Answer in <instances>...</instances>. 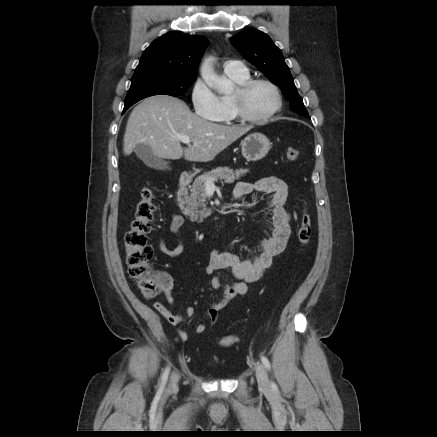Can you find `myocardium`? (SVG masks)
<instances>
[{
  "label": "myocardium",
  "mask_w": 437,
  "mask_h": 437,
  "mask_svg": "<svg viewBox=\"0 0 437 437\" xmlns=\"http://www.w3.org/2000/svg\"><path fill=\"white\" fill-rule=\"evenodd\" d=\"M258 84L269 86L275 95V105L273 109L268 114L261 117L250 115L246 109L247 95L251 89ZM232 101L238 119L251 124H261L269 121L280 111L282 107V96L278 86L272 81L263 78L249 79L243 84L238 85L235 92L232 94Z\"/></svg>",
  "instance_id": "1"
}]
</instances>
